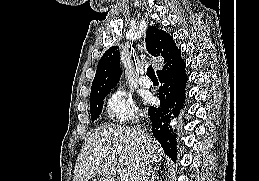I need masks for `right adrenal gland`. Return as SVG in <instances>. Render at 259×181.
<instances>
[{"label": "right adrenal gland", "instance_id": "right-adrenal-gland-1", "mask_svg": "<svg viewBox=\"0 0 259 181\" xmlns=\"http://www.w3.org/2000/svg\"><path fill=\"white\" fill-rule=\"evenodd\" d=\"M155 179H156V173L155 171H153L149 181H155Z\"/></svg>", "mask_w": 259, "mask_h": 181}]
</instances>
